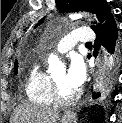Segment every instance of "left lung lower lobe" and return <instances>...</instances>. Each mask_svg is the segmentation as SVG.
Masks as SVG:
<instances>
[{"instance_id": "left-lung-lower-lobe-1", "label": "left lung lower lobe", "mask_w": 122, "mask_h": 123, "mask_svg": "<svg viewBox=\"0 0 122 123\" xmlns=\"http://www.w3.org/2000/svg\"><path fill=\"white\" fill-rule=\"evenodd\" d=\"M97 38L95 40L94 55L97 54V49L100 44L104 45L108 52V62L105 76L102 84V93L94 94V98L106 100L114 89L122 60V38L118 34L117 25L112 14H110L102 27L95 31ZM90 58V55H88Z\"/></svg>"}]
</instances>
